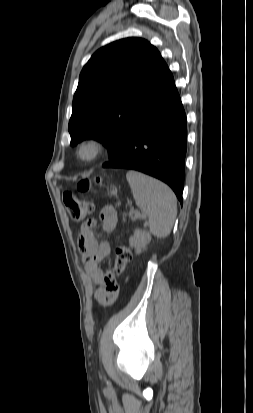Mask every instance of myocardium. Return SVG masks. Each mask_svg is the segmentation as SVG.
Returning a JSON list of instances; mask_svg holds the SVG:
<instances>
[{"instance_id":"1","label":"myocardium","mask_w":253,"mask_h":413,"mask_svg":"<svg viewBox=\"0 0 253 413\" xmlns=\"http://www.w3.org/2000/svg\"><path fill=\"white\" fill-rule=\"evenodd\" d=\"M103 151V143L98 138L89 137L79 142L76 149L77 158L85 163L96 160Z\"/></svg>"}]
</instances>
